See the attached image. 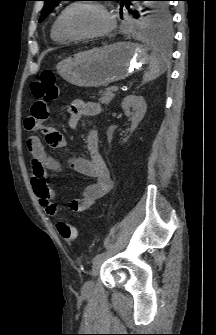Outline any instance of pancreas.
Here are the masks:
<instances>
[{
    "label": "pancreas",
    "mask_w": 216,
    "mask_h": 335,
    "mask_svg": "<svg viewBox=\"0 0 216 335\" xmlns=\"http://www.w3.org/2000/svg\"><path fill=\"white\" fill-rule=\"evenodd\" d=\"M100 95L99 102L104 105L109 104L115 97V94L113 93V87L106 88L105 91L100 92Z\"/></svg>",
    "instance_id": "cf45deb5"
}]
</instances>
